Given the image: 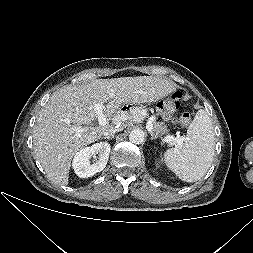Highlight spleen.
Returning <instances> with one entry per match:
<instances>
[{
    "mask_svg": "<svg viewBox=\"0 0 253 253\" xmlns=\"http://www.w3.org/2000/svg\"><path fill=\"white\" fill-rule=\"evenodd\" d=\"M214 131L207 112L199 110L187 130L185 141H178L164 154L167 167L184 182L201 179L210 168L214 156Z\"/></svg>",
    "mask_w": 253,
    "mask_h": 253,
    "instance_id": "3e777b00",
    "label": "spleen"
}]
</instances>
